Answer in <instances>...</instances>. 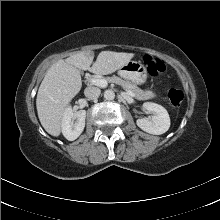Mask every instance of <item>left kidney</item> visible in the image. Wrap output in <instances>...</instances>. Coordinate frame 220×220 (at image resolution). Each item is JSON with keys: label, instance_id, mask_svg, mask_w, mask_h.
Masks as SVG:
<instances>
[{"label": "left kidney", "instance_id": "5707ae66", "mask_svg": "<svg viewBox=\"0 0 220 220\" xmlns=\"http://www.w3.org/2000/svg\"><path fill=\"white\" fill-rule=\"evenodd\" d=\"M143 108L149 113H153V116L150 119H138L136 123L139 128L154 135H161L168 131L170 127V117L163 106L152 102H145Z\"/></svg>", "mask_w": 220, "mask_h": 220}]
</instances>
